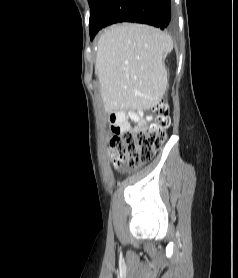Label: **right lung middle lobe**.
I'll use <instances>...</instances> for the list:
<instances>
[{
    "label": "right lung middle lobe",
    "instance_id": "1",
    "mask_svg": "<svg viewBox=\"0 0 238 278\" xmlns=\"http://www.w3.org/2000/svg\"><path fill=\"white\" fill-rule=\"evenodd\" d=\"M88 1H89L90 7H92L96 0H88Z\"/></svg>",
    "mask_w": 238,
    "mask_h": 278
}]
</instances>
